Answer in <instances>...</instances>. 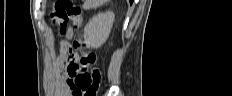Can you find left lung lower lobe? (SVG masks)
Segmentation results:
<instances>
[{"label":"left lung lower lobe","mask_w":232,"mask_h":96,"mask_svg":"<svg viewBox=\"0 0 232 96\" xmlns=\"http://www.w3.org/2000/svg\"><path fill=\"white\" fill-rule=\"evenodd\" d=\"M130 1V4H132L133 0H129Z\"/></svg>","instance_id":"0a47b994"}]
</instances>
